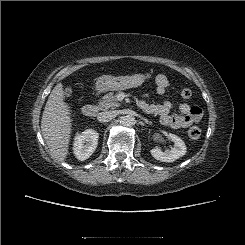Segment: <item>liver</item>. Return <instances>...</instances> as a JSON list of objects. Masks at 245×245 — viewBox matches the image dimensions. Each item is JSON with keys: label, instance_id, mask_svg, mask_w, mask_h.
Wrapping results in <instances>:
<instances>
[{"label": "liver", "instance_id": "obj_1", "mask_svg": "<svg viewBox=\"0 0 245 245\" xmlns=\"http://www.w3.org/2000/svg\"><path fill=\"white\" fill-rule=\"evenodd\" d=\"M71 127L70 106L64 102L63 85L58 83L48 97L41 119L42 135L56 161L67 158Z\"/></svg>", "mask_w": 245, "mask_h": 245}]
</instances>
